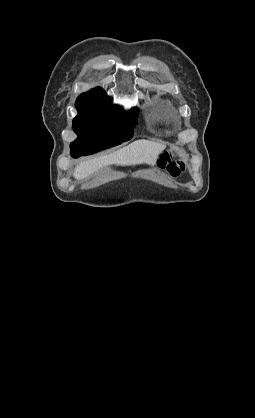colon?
Instances as JSON below:
<instances>
[{"label": "colon", "instance_id": "1", "mask_svg": "<svg viewBox=\"0 0 255 418\" xmlns=\"http://www.w3.org/2000/svg\"><path fill=\"white\" fill-rule=\"evenodd\" d=\"M158 166L162 169H165L172 176L180 174L184 167L183 163L175 160L173 155L169 152H165L161 155L160 159L158 160Z\"/></svg>", "mask_w": 255, "mask_h": 418}]
</instances>
